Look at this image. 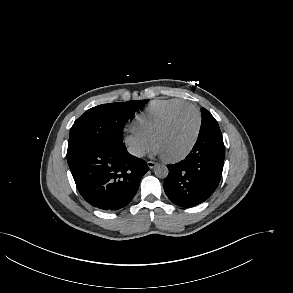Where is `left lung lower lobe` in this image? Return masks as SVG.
Returning a JSON list of instances; mask_svg holds the SVG:
<instances>
[{"label":"left lung lower lobe","instance_id":"0a47b994","mask_svg":"<svg viewBox=\"0 0 293 293\" xmlns=\"http://www.w3.org/2000/svg\"><path fill=\"white\" fill-rule=\"evenodd\" d=\"M225 149L221 132L199 134L188 156L167 165L164 191L176 205L193 207L207 200L217 188L223 170Z\"/></svg>","mask_w":293,"mask_h":293}]
</instances>
